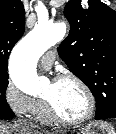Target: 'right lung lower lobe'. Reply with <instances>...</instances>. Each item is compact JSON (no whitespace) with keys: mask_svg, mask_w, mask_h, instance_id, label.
<instances>
[{"mask_svg":"<svg viewBox=\"0 0 116 134\" xmlns=\"http://www.w3.org/2000/svg\"><path fill=\"white\" fill-rule=\"evenodd\" d=\"M14 116V113L10 114L9 116L7 117H4V118H0V119H6V118H10V117H13Z\"/></svg>","mask_w":116,"mask_h":134,"instance_id":"98d812e1","label":"right lung lower lobe"}]
</instances>
